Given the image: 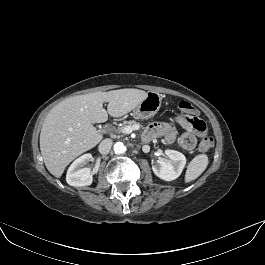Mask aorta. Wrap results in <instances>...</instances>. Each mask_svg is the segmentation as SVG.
I'll list each match as a JSON object with an SVG mask.
<instances>
[{"label":"aorta","mask_w":265,"mask_h":265,"mask_svg":"<svg viewBox=\"0 0 265 265\" xmlns=\"http://www.w3.org/2000/svg\"><path fill=\"white\" fill-rule=\"evenodd\" d=\"M114 152L116 154H123L126 152V146L122 142H117L114 145Z\"/></svg>","instance_id":"762f6f07"}]
</instances>
